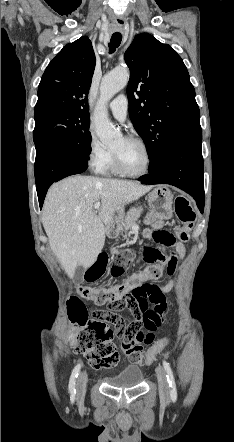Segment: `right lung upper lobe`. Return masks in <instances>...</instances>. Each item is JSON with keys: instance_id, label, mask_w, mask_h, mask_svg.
Masks as SVG:
<instances>
[{"instance_id": "obj_1", "label": "right lung upper lobe", "mask_w": 234, "mask_h": 442, "mask_svg": "<svg viewBox=\"0 0 234 442\" xmlns=\"http://www.w3.org/2000/svg\"><path fill=\"white\" fill-rule=\"evenodd\" d=\"M95 62L88 37L64 46L41 78L35 116L54 111L89 110L88 92Z\"/></svg>"}]
</instances>
